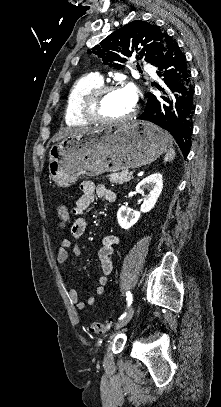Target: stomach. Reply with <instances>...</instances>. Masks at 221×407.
Masks as SVG:
<instances>
[{"mask_svg": "<svg viewBox=\"0 0 221 407\" xmlns=\"http://www.w3.org/2000/svg\"><path fill=\"white\" fill-rule=\"evenodd\" d=\"M171 145L168 133L146 121L68 135L50 149V178L69 187L80 177L150 164Z\"/></svg>", "mask_w": 221, "mask_h": 407, "instance_id": "stomach-1", "label": "stomach"}]
</instances>
